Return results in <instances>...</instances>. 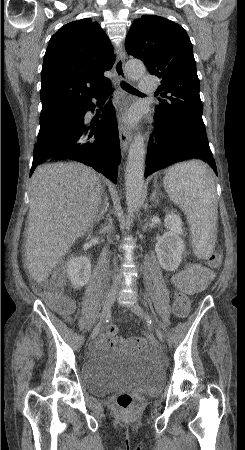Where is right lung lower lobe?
<instances>
[{
  "label": "right lung lower lobe",
  "instance_id": "right-lung-lower-lobe-1",
  "mask_svg": "<svg viewBox=\"0 0 245 450\" xmlns=\"http://www.w3.org/2000/svg\"><path fill=\"white\" fill-rule=\"evenodd\" d=\"M107 89L108 84L91 98L100 101L111 91ZM91 98L57 117L47 133L38 138L30 176L37 165L47 159H71L88 164L117 183L121 155L114 108L107 103L102 109L101 120L89 123L84 116L95 108Z\"/></svg>",
  "mask_w": 245,
  "mask_h": 450
}]
</instances>
